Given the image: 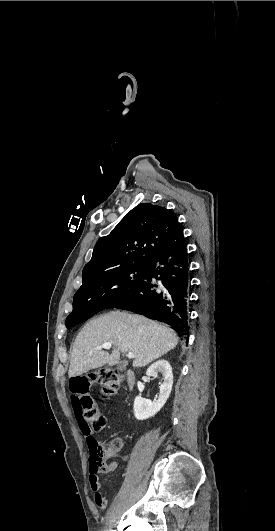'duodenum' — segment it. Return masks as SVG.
<instances>
[{
    "instance_id": "410a0bca",
    "label": "duodenum",
    "mask_w": 275,
    "mask_h": 531,
    "mask_svg": "<svg viewBox=\"0 0 275 531\" xmlns=\"http://www.w3.org/2000/svg\"><path fill=\"white\" fill-rule=\"evenodd\" d=\"M124 375H125V381H126L127 387L129 389H132L136 382V376H135L134 371L127 370Z\"/></svg>"
}]
</instances>
